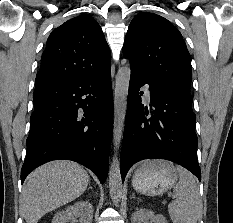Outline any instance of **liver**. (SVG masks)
Masks as SVG:
<instances>
[{"label": "liver", "mask_w": 233, "mask_h": 223, "mask_svg": "<svg viewBox=\"0 0 233 223\" xmlns=\"http://www.w3.org/2000/svg\"><path fill=\"white\" fill-rule=\"evenodd\" d=\"M89 175L75 161H49L28 175L21 207L27 223H37L42 215L84 193Z\"/></svg>", "instance_id": "6515ba94"}]
</instances>
